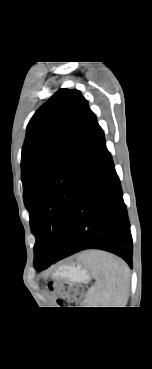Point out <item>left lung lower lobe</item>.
<instances>
[{
  "label": "left lung lower lobe",
  "mask_w": 152,
  "mask_h": 369,
  "mask_svg": "<svg viewBox=\"0 0 152 369\" xmlns=\"http://www.w3.org/2000/svg\"><path fill=\"white\" fill-rule=\"evenodd\" d=\"M85 249H102L123 258L132 268V237L122 189L104 133L98 125L84 162L70 224L62 245L50 260L35 268L51 264Z\"/></svg>",
  "instance_id": "left-lung-lower-lobe-1"
}]
</instances>
